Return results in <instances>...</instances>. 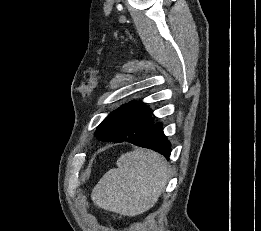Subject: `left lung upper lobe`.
I'll return each mask as SVG.
<instances>
[{"label":"left lung upper lobe","mask_w":261,"mask_h":231,"mask_svg":"<svg viewBox=\"0 0 261 231\" xmlns=\"http://www.w3.org/2000/svg\"><path fill=\"white\" fill-rule=\"evenodd\" d=\"M147 106L130 102L109 114L98 126L95 136L102 141L120 138H143L153 126Z\"/></svg>","instance_id":"left-lung-upper-lobe-1"}]
</instances>
